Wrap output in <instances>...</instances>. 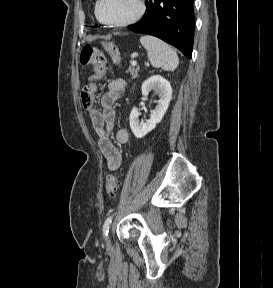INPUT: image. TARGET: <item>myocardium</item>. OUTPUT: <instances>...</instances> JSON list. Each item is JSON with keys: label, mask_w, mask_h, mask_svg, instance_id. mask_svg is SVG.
<instances>
[{"label": "myocardium", "mask_w": 273, "mask_h": 288, "mask_svg": "<svg viewBox=\"0 0 273 288\" xmlns=\"http://www.w3.org/2000/svg\"><path fill=\"white\" fill-rule=\"evenodd\" d=\"M102 2H103V0H97L96 6H95V15H96V18L98 19V21L107 27L128 26L130 24L137 22L139 19H141L146 12L145 0H137V4H138L137 11L131 17H129L125 20H121V21L107 22L100 15V6H101Z\"/></svg>", "instance_id": "1"}]
</instances>
